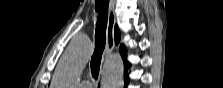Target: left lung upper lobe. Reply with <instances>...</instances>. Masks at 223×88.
Listing matches in <instances>:
<instances>
[{"instance_id":"1","label":"left lung upper lobe","mask_w":223,"mask_h":88,"mask_svg":"<svg viewBox=\"0 0 223 88\" xmlns=\"http://www.w3.org/2000/svg\"><path fill=\"white\" fill-rule=\"evenodd\" d=\"M120 41V32H119V29L117 28V26L115 27V43L118 44ZM120 53L124 59V62L129 64L127 62V56H126V49L123 45L120 46Z\"/></svg>"}]
</instances>
